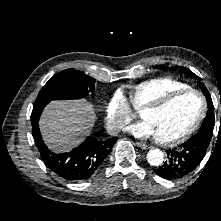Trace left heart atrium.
<instances>
[{
  "mask_svg": "<svg viewBox=\"0 0 221 221\" xmlns=\"http://www.w3.org/2000/svg\"><path fill=\"white\" fill-rule=\"evenodd\" d=\"M127 131L137 138H146L155 136L151 125L143 120L137 124L131 125L127 128Z\"/></svg>",
  "mask_w": 221,
  "mask_h": 221,
  "instance_id": "39dd6f15",
  "label": "left heart atrium"
}]
</instances>
